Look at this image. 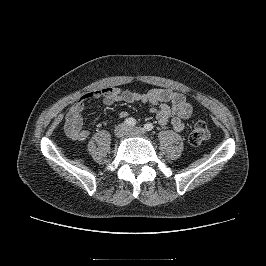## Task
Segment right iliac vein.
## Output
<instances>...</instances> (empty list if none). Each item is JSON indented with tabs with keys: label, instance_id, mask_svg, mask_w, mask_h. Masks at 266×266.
I'll use <instances>...</instances> for the list:
<instances>
[{
	"label": "right iliac vein",
	"instance_id": "right-iliac-vein-1",
	"mask_svg": "<svg viewBox=\"0 0 266 266\" xmlns=\"http://www.w3.org/2000/svg\"><path fill=\"white\" fill-rule=\"evenodd\" d=\"M127 127L124 124H120L115 127L114 134L116 137H122L126 133Z\"/></svg>",
	"mask_w": 266,
	"mask_h": 266
}]
</instances>
